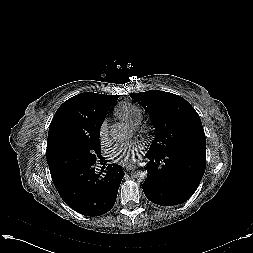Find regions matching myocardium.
Returning a JSON list of instances; mask_svg holds the SVG:
<instances>
[{
	"label": "myocardium",
	"mask_w": 253,
	"mask_h": 253,
	"mask_svg": "<svg viewBox=\"0 0 253 253\" xmlns=\"http://www.w3.org/2000/svg\"><path fill=\"white\" fill-rule=\"evenodd\" d=\"M144 131H145V132H147V131H148V129H144Z\"/></svg>",
	"instance_id": "f54148a6"
}]
</instances>
